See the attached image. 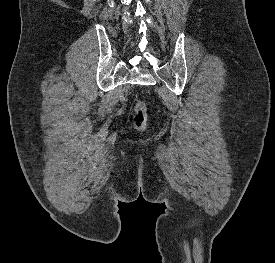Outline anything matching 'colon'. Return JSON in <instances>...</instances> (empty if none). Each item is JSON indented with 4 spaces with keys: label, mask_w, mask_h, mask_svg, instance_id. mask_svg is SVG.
I'll list each match as a JSON object with an SVG mask.
<instances>
[{
    "label": "colon",
    "mask_w": 275,
    "mask_h": 263,
    "mask_svg": "<svg viewBox=\"0 0 275 263\" xmlns=\"http://www.w3.org/2000/svg\"><path fill=\"white\" fill-rule=\"evenodd\" d=\"M147 107L143 101H138L134 108L133 124L137 130H144L147 127Z\"/></svg>",
    "instance_id": "obj_1"
}]
</instances>
